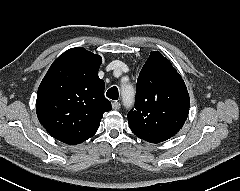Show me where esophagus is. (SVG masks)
<instances>
[{"label": "esophagus", "mask_w": 240, "mask_h": 191, "mask_svg": "<svg viewBox=\"0 0 240 191\" xmlns=\"http://www.w3.org/2000/svg\"><path fill=\"white\" fill-rule=\"evenodd\" d=\"M120 107H121V104H120L118 101H114V102L112 103V108H113L114 110H119Z\"/></svg>", "instance_id": "obj_1"}]
</instances>
